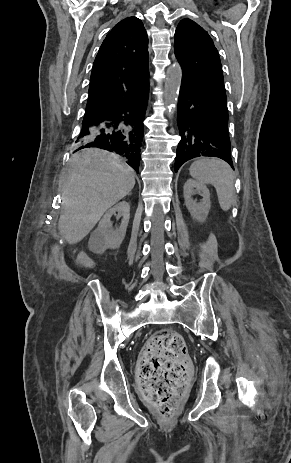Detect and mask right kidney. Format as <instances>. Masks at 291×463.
<instances>
[{
  "label": "right kidney",
  "instance_id": "obj_1",
  "mask_svg": "<svg viewBox=\"0 0 291 463\" xmlns=\"http://www.w3.org/2000/svg\"><path fill=\"white\" fill-rule=\"evenodd\" d=\"M118 212L123 219L119 228L114 229L111 217ZM130 218V206L122 201L110 208L100 220L98 227L93 231L89 239V248L95 253H103L106 249L119 248L126 235Z\"/></svg>",
  "mask_w": 291,
  "mask_h": 463
}]
</instances>
